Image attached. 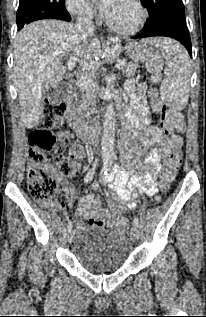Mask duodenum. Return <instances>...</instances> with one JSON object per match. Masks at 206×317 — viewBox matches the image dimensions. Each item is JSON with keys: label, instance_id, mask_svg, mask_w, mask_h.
Segmentation results:
<instances>
[{"label": "duodenum", "instance_id": "duodenum-1", "mask_svg": "<svg viewBox=\"0 0 206 317\" xmlns=\"http://www.w3.org/2000/svg\"><path fill=\"white\" fill-rule=\"evenodd\" d=\"M64 106L65 108H68L67 118L76 137L87 143L92 142L96 134L95 127L89 123L81 121L76 109L72 107V101H65Z\"/></svg>", "mask_w": 206, "mask_h": 317}]
</instances>
